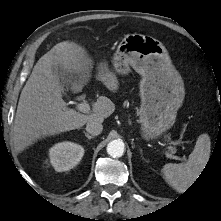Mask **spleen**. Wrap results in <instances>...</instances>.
Wrapping results in <instances>:
<instances>
[{
    "instance_id": "1",
    "label": "spleen",
    "mask_w": 221,
    "mask_h": 221,
    "mask_svg": "<svg viewBox=\"0 0 221 221\" xmlns=\"http://www.w3.org/2000/svg\"><path fill=\"white\" fill-rule=\"evenodd\" d=\"M211 142L207 133L201 134L188 161L166 164L162 171L166 181L178 192L185 191L198 178L210 157Z\"/></svg>"
}]
</instances>
